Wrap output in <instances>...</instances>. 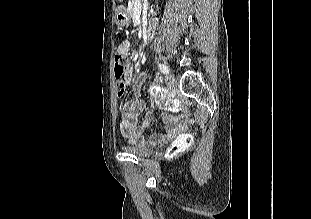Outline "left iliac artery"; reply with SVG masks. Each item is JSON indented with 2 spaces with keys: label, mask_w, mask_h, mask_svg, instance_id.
Returning <instances> with one entry per match:
<instances>
[{
  "label": "left iliac artery",
  "mask_w": 311,
  "mask_h": 219,
  "mask_svg": "<svg viewBox=\"0 0 311 219\" xmlns=\"http://www.w3.org/2000/svg\"><path fill=\"white\" fill-rule=\"evenodd\" d=\"M158 67L160 69V71L164 74H168L169 73V68L165 65V64H158Z\"/></svg>",
  "instance_id": "44dca946"
}]
</instances>
